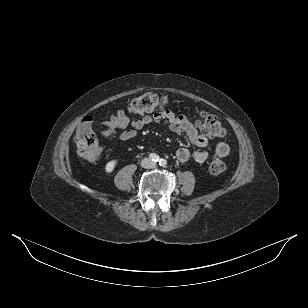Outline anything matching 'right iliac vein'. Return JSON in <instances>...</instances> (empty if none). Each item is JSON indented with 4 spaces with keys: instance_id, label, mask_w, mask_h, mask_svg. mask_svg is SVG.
I'll use <instances>...</instances> for the list:
<instances>
[{
    "instance_id": "63e3f726",
    "label": "right iliac vein",
    "mask_w": 308,
    "mask_h": 308,
    "mask_svg": "<svg viewBox=\"0 0 308 308\" xmlns=\"http://www.w3.org/2000/svg\"><path fill=\"white\" fill-rule=\"evenodd\" d=\"M141 165L144 166V167H146V166L148 165V161H147V160H143V161L141 162Z\"/></svg>"
}]
</instances>
